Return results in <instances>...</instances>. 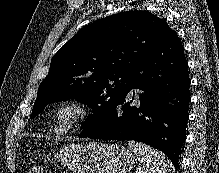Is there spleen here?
Segmentation results:
<instances>
[{
	"instance_id": "obj_1",
	"label": "spleen",
	"mask_w": 219,
	"mask_h": 173,
	"mask_svg": "<svg viewBox=\"0 0 219 173\" xmlns=\"http://www.w3.org/2000/svg\"><path fill=\"white\" fill-rule=\"evenodd\" d=\"M128 145L142 163L136 173H168L170 171V161L162 152L136 141H129Z\"/></svg>"
}]
</instances>
